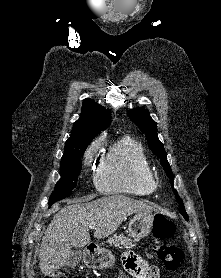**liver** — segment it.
Returning a JSON list of instances; mask_svg holds the SVG:
<instances>
[{
	"label": "liver",
	"mask_w": 221,
	"mask_h": 278,
	"mask_svg": "<svg viewBox=\"0 0 221 278\" xmlns=\"http://www.w3.org/2000/svg\"><path fill=\"white\" fill-rule=\"evenodd\" d=\"M82 202L70 201L53 217L45 232L39 251V265L45 276L66 265L72 247L82 248L90 243L91 223H96L94 237L102 239L113 234L128 216L153 211L146 203L123 195Z\"/></svg>",
	"instance_id": "6515ba94"
}]
</instances>
